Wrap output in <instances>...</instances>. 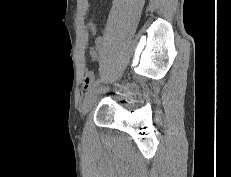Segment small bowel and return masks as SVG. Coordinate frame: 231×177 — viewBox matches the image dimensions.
I'll return each instance as SVG.
<instances>
[{
  "mask_svg": "<svg viewBox=\"0 0 231 177\" xmlns=\"http://www.w3.org/2000/svg\"><path fill=\"white\" fill-rule=\"evenodd\" d=\"M89 28H90V31L92 33H96L97 28H96V24L93 21L90 22ZM95 49H96L97 52L92 53V59L93 60H97L98 59V54H101L103 52V50H104L103 41H102V39L100 37H98L95 40ZM93 80H94V73L91 72V71H87L85 73L84 80H83V84H84L85 88L90 87L92 85V83H93Z\"/></svg>",
  "mask_w": 231,
  "mask_h": 177,
  "instance_id": "obj_1",
  "label": "small bowel"
}]
</instances>
